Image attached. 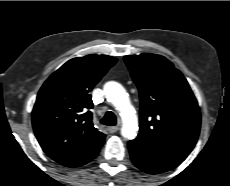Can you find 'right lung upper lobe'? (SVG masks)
<instances>
[{"label": "right lung upper lobe", "mask_w": 230, "mask_h": 186, "mask_svg": "<svg viewBox=\"0 0 230 186\" xmlns=\"http://www.w3.org/2000/svg\"><path fill=\"white\" fill-rule=\"evenodd\" d=\"M116 61L96 54L73 58L41 87L32 111L35 136L61 165H84L99 152L105 135L93 126L89 92Z\"/></svg>", "instance_id": "right-lung-upper-lobe-1"}]
</instances>
